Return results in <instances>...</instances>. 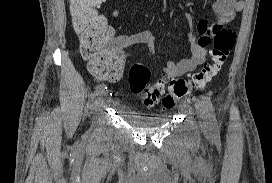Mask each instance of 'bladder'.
Segmentation results:
<instances>
[{"label": "bladder", "mask_w": 272, "mask_h": 183, "mask_svg": "<svg viewBox=\"0 0 272 183\" xmlns=\"http://www.w3.org/2000/svg\"><path fill=\"white\" fill-rule=\"evenodd\" d=\"M123 117L130 125L145 130L162 127L169 121L168 115L143 116L134 112H126Z\"/></svg>", "instance_id": "31cf9c89"}]
</instances>
